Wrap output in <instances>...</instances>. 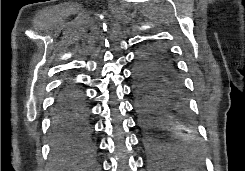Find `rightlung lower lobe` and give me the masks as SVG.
I'll list each match as a JSON object with an SVG mask.
<instances>
[{
    "label": "right lung lower lobe",
    "instance_id": "1",
    "mask_svg": "<svg viewBox=\"0 0 245 171\" xmlns=\"http://www.w3.org/2000/svg\"><path fill=\"white\" fill-rule=\"evenodd\" d=\"M91 113L82 88L67 80L57 94L51 122L53 156L64 157L91 144Z\"/></svg>",
    "mask_w": 245,
    "mask_h": 171
}]
</instances>
